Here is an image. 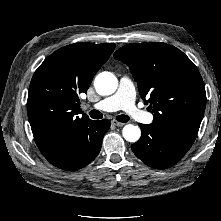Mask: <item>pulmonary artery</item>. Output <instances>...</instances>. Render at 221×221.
Listing matches in <instances>:
<instances>
[{
  "label": "pulmonary artery",
  "mask_w": 221,
  "mask_h": 221,
  "mask_svg": "<svg viewBox=\"0 0 221 221\" xmlns=\"http://www.w3.org/2000/svg\"><path fill=\"white\" fill-rule=\"evenodd\" d=\"M94 109L99 111L113 112L117 110H124L130 118L142 123H151L153 115L139 108L135 103V89L132 81L123 77L120 80L118 91L107 97L94 106Z\"/></svg>",
  "instance_id": "pulmonary-artery-1"
}]
</instances>
